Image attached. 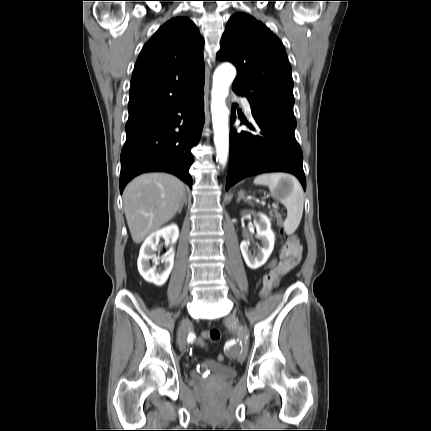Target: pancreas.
Masks as SVG:
<instances>
[{
	"label": "pancreas",
	"mask_w": 431,
	"mask_h": 431,
	"mask_svg": "<svg viewBox=\"0 0 431 431\" xmlns=\"http://www.w3.org/2000/svg\"><path fill=\"white\" fill-rule=\"evenodd\" d=\"M270 216L273 217L274 215L270 212Z\"/></svg>",
	"instance_id": "1"
}]
</instances>
